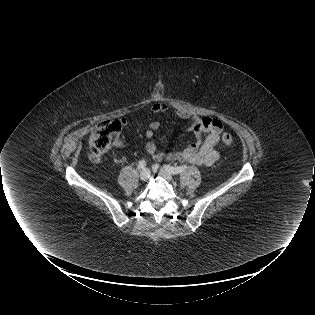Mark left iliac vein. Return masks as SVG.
<instances>
[{
	"label": "left iliac vein",
	"instance_id": "4c4485c4",
	"mask_svg": "<svg viewBox=\"0 0 315 315\" xmlns=\"http://www.w3.org/2000/svg\"><path fill=\"white\" fill-rule=\"evenodd\" d=\"M152 169H153L154 172H157L158 175L163 177L164 179H166V180H171L172 179V175L168 171L164 170L163 168L159 169V168H156L155 166H153Z\"/></svg>",
	"mask_w": 315,
	"mask_h": 315
}]
</instances>
